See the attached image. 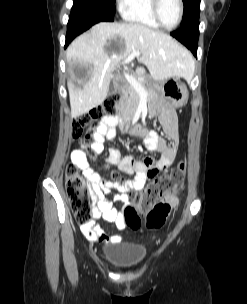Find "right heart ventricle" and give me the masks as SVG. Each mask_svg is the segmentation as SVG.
Returning <instances> with one entry per match:
<instances>
[{"label":"right heart ventricle","instance_id":"obj_1","mask_svg":"<svg viewBox=\"0 0 247 304\" xmlns=\"http://www.w3.org/2000/svg\"><path fill=\"white\" fill-rule=\"evenodd\" d=\"M121 15L130 22L150 28L160 27L153 16L151 0H123Z\"/></svg>","mask_w":247,"mask_h":304}]
</instances>
